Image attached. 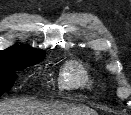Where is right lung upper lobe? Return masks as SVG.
Instances as JSON below:
<instances>
[{"mask_svg":"<svg viewBox=\"0 0 131 115\" xmlns=\"http://www.w3.org/2000/svg\"><path fill=\"white\" fill-rule=\"evenodd\" d=\"M45 52L32 49L24 45H15L0 51V68L5 69L9 67L10 63L16 59L24 56H42Z\"/></svg>","mask_w":131,"mask_h":115,"instance_id":"cb5924a9","label":"right lung upper lobe"}]
</instances>
